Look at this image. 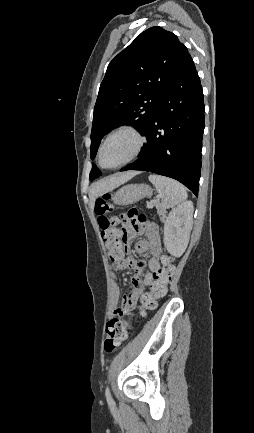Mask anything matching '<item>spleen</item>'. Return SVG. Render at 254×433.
<instances>
[{"label": "spleen", "mask_w": 254, "mask_h": 433, "mask_svg": "<svg viewBox=\"0 0 254 433\" xmlns=\"http://www.w3.org/2000/svg\"><path fill=\"white\" fill-rule=\"evenodd\" d=\"M148 178L160 194L163 208H172L187 199L185 187L176 180L155 174Z\"/></svg>", "instance_id": "3e777b00"}]
</instances>
